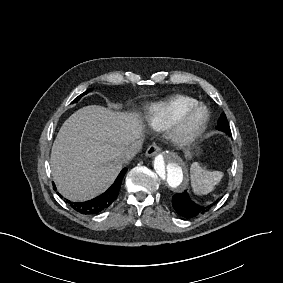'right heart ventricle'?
Returning <instances> with one entry per match:
<instances>
[{
  "label": "right heart ventricle",
  "mask_w": 283,
  "mask_h": 283,
  "mask_svg": "<svg viewBox=\"0 0 283 283\" xmlns=\"http://www.w3.org/2000/svg\"><path fill=\"white\" fill-rule=\"evenodd\" d=\"M177 102L182 106H190L195 103H199V101L191 96L179 95L175 96L171 100L160 103V104H152L147 106L143 110V120L146 124L152 128L154 131L161 132L163 125V117H164V105L168 102Z\"/></svg>",
  "instance_id": "e07e8e85"
}]
</instances>
